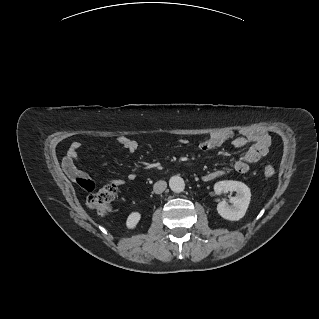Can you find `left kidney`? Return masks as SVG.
I'll use <instances>...</instances> for the list:
<instances>
[{
	"mask_svg": "<svg viewBox=\"0 0 319 319\" xmlns=\"http://www.w3.org/2000/svg\"><path fill=\"white\" fill-rule=\"evenodd\" d=\"M216 194L236 192L235 197H231L229 205L225 200L217 205L218 214L230 221H238L244 217L251 200L250 188L243 182L226 180L219 181L214 185Z\"/></svg>",
	"mask_w": 319,
	"mask_h": 319,
	"instance_id": "5707ae66",
	"label": "left kidney"
}]
</instances>
